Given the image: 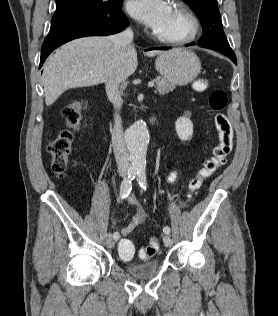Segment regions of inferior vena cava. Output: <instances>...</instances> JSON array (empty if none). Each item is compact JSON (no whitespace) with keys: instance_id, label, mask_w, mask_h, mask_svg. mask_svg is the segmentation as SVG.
Masks as SVG:
<instances>
[{"instance_id":"1","label":"inferior vena cava","mask_w":278,"mask_h":316,"mask_svg":"<svg viewBox=\"0 0 278 316\" xmlns=\"http://www.w3.org/2000/svg\"><path fill=\"white\" fill-rule=\"evenodd\" d=\"M133 36V31L130 28H127L124 31L110 37L115 47L116 58H119L122 55L123 50L127 46L131 45L133 41ZM118 87L119 83L115 82L111 77L107 80V96L109 100L113 103L116 110H119L123 103ZM114 121L115 124L112 131V146L118 171L124 173L129 168V157L123 138L121 117L119 116V114H117V112L115 113Z\"/></svg>"}]
</instances>
